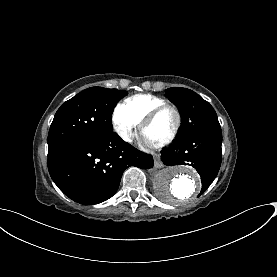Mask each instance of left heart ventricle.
Segmentation results:
<instances>
[{"mask_svg":"<svg viewBox=\"0 0 277 277\" xmlns=\"http://www.w3.org/2000/svg\"><path fill=\"white\" fill-rule=\"evenodd\" d=\"M175 124V112L172 109H166L144 130L143 135H145L152 143L157 144L171 134Z\"/></svg>","mask_w":277,"mask_h":277,"instance_id":"obj_1","label":"left heart ventricle"}]
</instances>
